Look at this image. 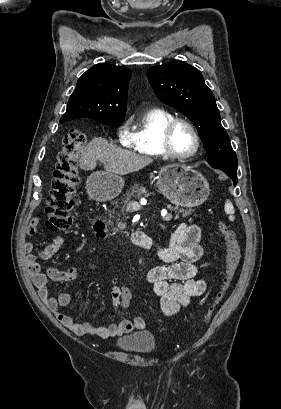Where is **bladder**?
Listing matches in <instances>:
<instances>
[{
	"label": "bladder",
	"mask_w": 281,
	"mask_h": 409,
	"mask_svg": "<svg viewBox=\"0 0 281 409\" xmlns=\"http://www.w3.org/2000/svg\"><path fill=\"white\" fill-rule=\"evenodd\" d=\"M114 346L126 354L148 356L156 352L157 340L149 329H140L128 335H118Z\"/></svg>",
	"instance_id": "obj_1"
}]
</instances>
